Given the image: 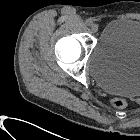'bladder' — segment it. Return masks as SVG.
<instances>
[{
	"label": "bladder",
	"instance_id": "bladder-1",
	"mask_svg": "<svg viewBox=\"0 0 140 140\" xmlns=\"http://www.w3.org/2000/svg\"><path fill=\"white\" fill-rule=\"evenodd\" d=\"M89 66L105 91L140 95V20L116 18L108 22L93 48Z\"/></svg>",
	"mask_w": 140,
	"mask_h": 140
}]
</instances>
